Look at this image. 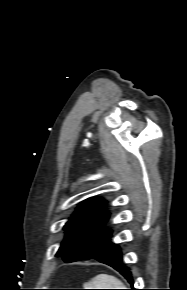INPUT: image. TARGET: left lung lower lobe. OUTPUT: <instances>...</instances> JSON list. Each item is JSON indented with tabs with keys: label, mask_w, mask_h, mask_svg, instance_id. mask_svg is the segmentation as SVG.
<instances>
[{
	"label": "left lung lower lobe",
	"mask_w": 187,
	"mask_h": 290,
	"mask_svg": "<svg viewBox=\"0 0 187 290\" xmlns=\"http://www.w3.org/2000/svg\"><path fill=\"white\" fill-rule=\"evenodd\" d=\"M90 259H96L101 263L107 264L123 275L127 281L133 285V280L129 268L123 263L119 246L110 243V239L103 248Z\"/></svg>",
	"instance_id": "0a47b994"
}]
</instances>
